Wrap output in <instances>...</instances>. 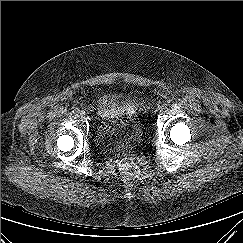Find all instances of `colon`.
<instances>
[{
	"instance_id": "1",
	"label": "colon",
	"mask_w": 243,
	"mask_h": 243,
	"mask_svg": "<svg viewBox=\"0 0 243 243\" xmlns=\"http://www.w3.org/2000/svg\"><path fill=\"white\" fill-rule=\"evenodd\" d=\"M120 173L125 179H135L140 173L141 169L138 162L131 157H125L120 162Z\"/></svg>"
}]
</instances>
